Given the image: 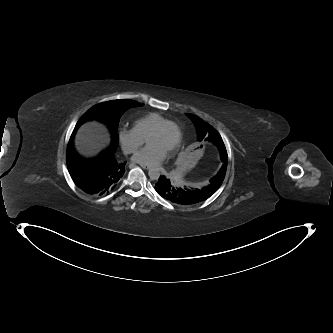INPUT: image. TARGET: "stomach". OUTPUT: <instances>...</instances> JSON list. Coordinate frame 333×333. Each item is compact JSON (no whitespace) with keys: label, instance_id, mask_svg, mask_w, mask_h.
<instances>
[{"label":"stomach","instance_id":"1","mask_svg":"<svg viewBox=\"0 0 333 333\" xmlns=\"http://www.w3.org/2000/svg\"><path fill=\"white\" fill-rule=\"evenodd\" d=\"M206 150L198 143L192 142L176 158L175 164L170 167L169 173L173 179L179 180L198 170L200 162L206 159Z\"/></svg>","mask_w":333,"mask_h":333}]
</instances>
